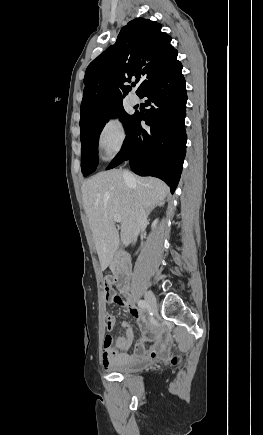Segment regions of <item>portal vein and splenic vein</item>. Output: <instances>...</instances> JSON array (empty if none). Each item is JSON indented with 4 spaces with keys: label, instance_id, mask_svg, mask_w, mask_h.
Masks as SVG:
<instances>
[{
    "label": "portal vein and splenic vein",
    "instance_id": "1",
    "mask_svg": "<svg viewBox=\"0 0 263 435\" xmlns=\"http://www.w3.org/2000/svg\"><path fill=\"white\" fill-rule=\"evenodd\" d=\"M113 219L115 222H118V223H120L122 221L121 217L119 215H114Z\"/></svg>",
    "mask_w": 263,
    "mask_h": 435
}]
</instances>
